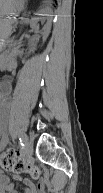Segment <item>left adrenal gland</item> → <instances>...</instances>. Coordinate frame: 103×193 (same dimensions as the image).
Masks as SVG:
<instances>
[{"mask_svg":"<svg viewBox=\"0 0 103 193\" xmlns=\"http://www.w3.org/2000/svg\"><path fill=\"white\" fill-rule=\"evenodd\" d=\"M25 25H28L30 23V20H28L27 18L25 19ZM21 43V39L19 40V44Z\"/></svg>","mask_w":103,"mask_h":193,"instance_id":"a2214340","label":"left adrenal gland"}]
</instances>
